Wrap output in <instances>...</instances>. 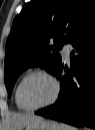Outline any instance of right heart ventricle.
<instances>
[{"mask_svg":"<svg viewBox=\"0 0 95 130\" xmlns=\"http://www.w3.org/2000/svg\"><path fill=\"white\" fill-rule=\"evenodd\" d=\"M16 91H17V88H16V90H15V96H14V98H15V104H16V106H17V108H19V109H21V110H24L23 108H21V106L18 104V102H17V99H16Z\"/></svg>","mask_w":95,"mask_h":130,"instance_id":"right-heart-ventricle-1","label":"right heart ventricle"}]
</instances>
